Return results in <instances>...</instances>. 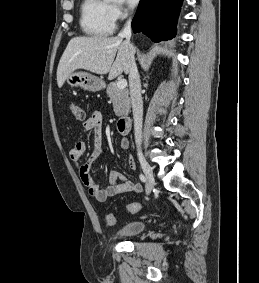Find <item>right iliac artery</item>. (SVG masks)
I'll return each mask as SVG.
<instances>
[{
	"label": "right iliac artery",
	"instance_id": "1",
	"mask_svg": "<svg viewBox=\"0 0 259 283\" xmlns=\"http://www.w3.org/2000/svg\"><path fill=\"white\" fill-rule=\"evenodd\" d=\"M140 180L145 183V182H146L145 176L141 174V175H140Z\"/></svg>",
	"mask_w": 259,
	"mask_h": 283
}]
</instances>
